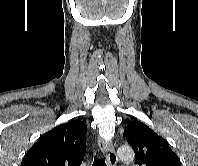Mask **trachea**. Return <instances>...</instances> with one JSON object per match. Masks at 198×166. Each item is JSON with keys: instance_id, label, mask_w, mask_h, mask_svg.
I'll return each mask as SVG.
<instances>
[{"instance_id": "obj_1", "label": "trachea", "mask_w": 198, "mask_h": 166, "mask_svg": "<svg viewBox=\"0 0 198 166\" xmlns=\"http://www.w3.org/2000/svg\"><path fill=\"white\" fill-rule=\"evenodd\" d=\"M92 166H106L105 160L97 156L94 157V162Z\"/></svg>"}]
</instances>
